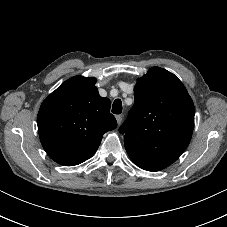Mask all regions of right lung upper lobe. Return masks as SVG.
I'll return each mask as SVG.
<instances>
[{
    "label": "right lung upper lobe",
    "instance_id": "obj_1",
    "mask_svg": "<svg viewBox=\"0 0 227 227\" xmlns=\"http://www.w3.org/2000/svg\"><path fill=\"white\" fill-rule=\"evenodd\" d=\"M93 77L68 79L41 104L37 124L49 157L63 166L78 165L93 156L103 134L117 127L110 100L99 95Z\"/></svg>",
    "mask_w": 227,
    "mask_h": 227
}]
</instances>
